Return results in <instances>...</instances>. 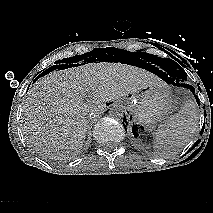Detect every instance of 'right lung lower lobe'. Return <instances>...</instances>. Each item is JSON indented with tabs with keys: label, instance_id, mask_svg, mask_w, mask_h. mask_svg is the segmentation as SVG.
Here are the masks:
<instances>
[{
	"label": "right lung lower lobe",
	"instance_id": "obj_1",
	"mask_svg": "<svg viewBox=\"0 0 213 213\" xmlns=\"http://www.w3.org/2000/svg\"><path fill=\"white\" fill-rule=\"evenodd\" d=\"M68 66H69V65L56 64V65H54V66L48 68L43 74H47V73L53 71V70L56 69V68H58V69H63V68H66V67H68Z\"/></svg>",
	"mask_w": 213,
	"mask_h": 213
}]
</instances>
